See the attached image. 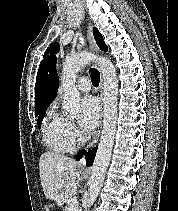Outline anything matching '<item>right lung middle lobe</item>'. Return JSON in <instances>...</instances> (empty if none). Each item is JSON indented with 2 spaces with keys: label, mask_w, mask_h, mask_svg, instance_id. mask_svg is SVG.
<instances>
[{
  "label": "right lung middle lobe",
  "mask_w": 178,
  "mask_h": 211,
  "mask_svg": "<svg viewBox=\"0 0 178 211\" xmlns=\"http://www.w3.org/2000/svg\"><path fill=\"white\" fill-rule=\"evenodd\" d=\"M44 114H45L44 110L35 113V116H38V121H37L38 126H40L42 119L44 117Z\"/></svg>",
  "instance_id": "right-lung-middle-lobe-1"
}]
</instances>
